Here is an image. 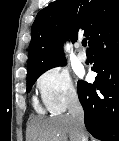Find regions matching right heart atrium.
<instances>
[{
	"instance_id": "1",
	"label": "right heart atrium",
	"mask_w": 119,
	"mask_h": 141,
	"mask_svg": "<svg viewBox=\"0 0 119 141\" xmlns=\"http://www.w3.org/2000/svg\"><path fill=\"white\" fill-rule=\"evenodd\" d=\"M44 107L60 113L77 101V91L69 72L54 66L42 73L36 83Z\"/></svg>"
}]
</instances>
